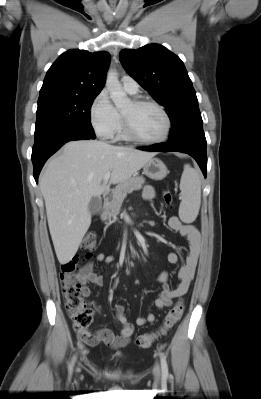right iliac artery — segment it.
I'll use <instances>...</instances> for the list:
<instances>
[{"label":"right iliac artery","mask_w":261,"mask_h":399,"mask_svg":"<svg viewBox=\"0 0 261 399\" xmlns=\"http://www.w3.org/2000/svg\"><path fill=\"white\" fill-rule=\"evenodd\" d=\"M75 358H76V357H73V359H72V362H71V364H70V366H69V370H72V367H73V364H74Z\"/></svg>","instance_id":"1"}]
</instances>
